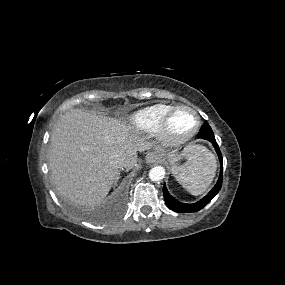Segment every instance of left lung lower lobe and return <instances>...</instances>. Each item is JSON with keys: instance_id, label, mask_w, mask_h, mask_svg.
Instances as JSON below:
<instances>
[{"instance_id": "left-lung-lower-lobe-1", "label": "left lung lower lobe", "mask_w": 285, "mask_h": 285, "mask_svg": "<svg viewBox=\"0 0 285 285\" xmlns=\"http://www.w3.org/2000/svg\"><path fill=\"white\" fill-rule=\"evenodd\" d=\"M198 138H203L205 140H208L212 142L214 145L216 152L218 154L219 160H220V165H221V170H220V175L219 179L214 186V188L205 196L203 197L200 201L194 204H185L176 201L173 199L170 194L167 191L166 185L164 184L163 186V194H164V200L167 204V206L172 209L175 212H197L200 209H202L206 204H208L212 198L219 192L221 185H222V180H223V162H222V155L220 152V149L216 143L213 131L211 127L208 124L202 125L199 133H198Z\"/></svg>"}]
</instances>
